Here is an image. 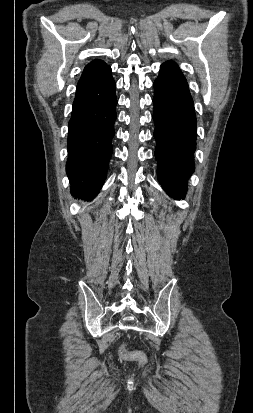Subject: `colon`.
I'll list each match as a JSON object with an SVG mask.
<instances>
[{"instance_id":"5ec220e1","label":"colon","mask_w":253,"mask_h":413,"mask_svg":"<svg viewBox=\"0 0 253 413\" xmlns=\"http://www.w3.org/2000/svg\"><path fill=\"white\" fill-rule=\"evenodd\" d=\"M118 355L123 360L136 361L140 365H144L147 361L146 355L139 351H129L125 343L118 348Z\"/></svg>"}]
</instances>
